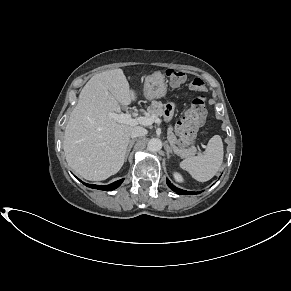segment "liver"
Instances as JSON below:
<instances>
[{
  "label": "liver",
  "mask_w": 291,
  "mask_h": 291,
  "mask_svg": "<svg viewBox=\"0 0 291 291\" xmlns=\"http://www.w3.org/2000/svg\"><path fill=\"white\" fill-rule=\"evenodd\" d=\"M137 100L122 69L94 75L80 92L64 133V152L70 168L86 180L101 181L119 172L125 161L132 125L108 113Z\"/></svg>",
  "instance_id": "liver-1"
}]
</instances>
